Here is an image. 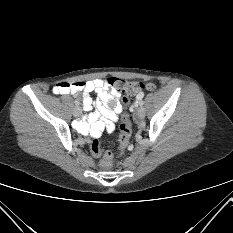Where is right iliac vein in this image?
<instances>
[{
  "mask_svg": "<svg viewBox=\"0 0 233 233\" xmlns=\"http://www.w3.org/2000/svg\"><path fill=\"white\" fill-rule=\"evenodd\" d=\"M82 114V109L78 106H76L74 109H73V115L75 117H78Z\"/></svg>",
  "mask_w": 233,
  "mask_h": 233,
  "instance_id": "63e3f726",
  "label": "right iliac vein"
}]
</instances>
